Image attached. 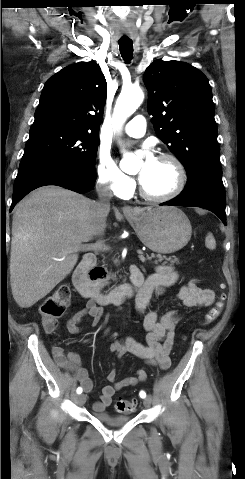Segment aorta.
Returning <instances> with one entry per match:
<instances>
[{
  "label": "aorta",
  "instance_id": "aorta-1",
  "mask_svg": "<svg viewBox=\"0 0 245 479\" xmlns=\"http://www.w3.org/2000/svg\"><path fill=\"white\" fill-rule=\"evenodd\" d=\"M143 99L144 94L139 87L131 86L122 89L113 113V124L117 130H119L126 119L136 111L143 102ZM120 168L128 174L136 173L140 169V160L134 155L125 154L120 162Z\"/></svg>",
  "mask_w": 245,
  "mask_h": 479
}]
</instances>
